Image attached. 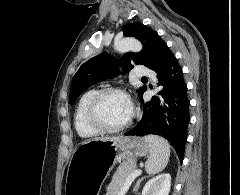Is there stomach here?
<instances>
[{
	"label": "stomach",
	"instance_id": "0dacf381",
	"mask_svg": "<svg viewBox=\"0 0 240 195\" xmlns=\"http://www.w3.org/2000/svg\"><path fill=\"white\" fill-rule=\"evenodd\" d=\"M145 137L116 135V139H85L75 147L68 165L65 195H99L114 165L150 153Z\"/></svg>",
	"mask_w": 240,
	"mask_h": 195
}]
</instances>
